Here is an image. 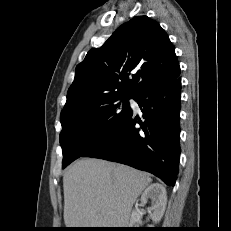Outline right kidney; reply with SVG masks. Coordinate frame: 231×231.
Returning a JSON list of instances; mask_svg holds the SVG:
<instances>
[{
	"mask_svg": "<svg viewBox=\"0 0 231 231\" xmlns=\"http://www.w3.org/2000/svg\"><path fill=\"white\" fill-rule=\"evenodd\" d=\"M148 200H151V207L148 209L149 217L154 223H158L167 205L166 189L159 183L151 184L145 189L141 196L142 204H146ZM142 213L136 208L131 214L130 228H138L141 223Z\"/></svg>",
	"mask_w": 231,
	"mask_h": 231,
	"instance_id": "obj_1",
	"label": "right kidney"
}]
</instances>
